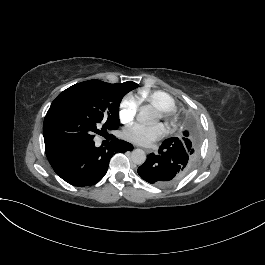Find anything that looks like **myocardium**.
Segmentation results:
<instances>
[{
  "label": "myocardium",
  "mask_w": 265,
  "mask_h": 265,
  "mask_svg": "<svg viewBox=\"0 0 265 265\" xmlns=\"http://www.w3.org/2000/svg\"><path fill=\"white\" fill-rule=\"evenodd\" d=\"M160 116L165 119L166 122H169L173 117V110L160 111Z\"/></svg>",
  "instance_id": "f54148a6"
}]
</instances>
